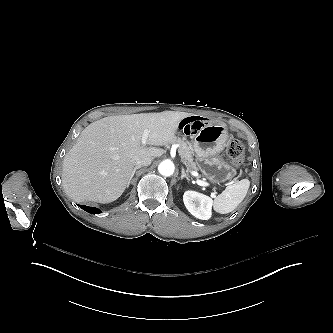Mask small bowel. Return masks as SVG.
I'll return each mask as SVG.
<instances>
[{
  "instance_id": "small-bowel-1",
  "label": "small bowel",
  "mask_w": 333,
  "mask_h": 333,
  "mask_svg": "<svg viewBox=\"0 0 333 333\" xmlns=\"http://www.w3.org/2000/svg\"><path fill=\"white\" fill-rule=\"evenodd\" d=\"M205 119L199 116H191L185 120L180 119L177 121L176 126L187 134H194L199 131L201 125L205 123Z\"/></svg>"
}]
</instances>
